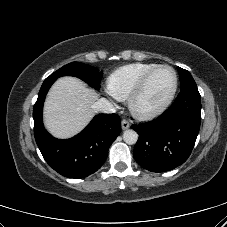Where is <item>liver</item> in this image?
Instances as JSON below:
<instances>
[{
  "label": "liver",
  "mask_w": 227,
  "mask_h": 227,
  "mask_svg": "<svg viewBox=\"0 0 227 227\" xmlns=\"http://www.w3.org/2000/svg\"><path fill=\"white\" fill-rule=\"evenodd\" d=\"M98 94L75 77L59 78L51 87L44 104V123L57 138L80 132L95 113Z\"/></svg>",
  "instance_id": "6515ba94"
}]
</instances>
